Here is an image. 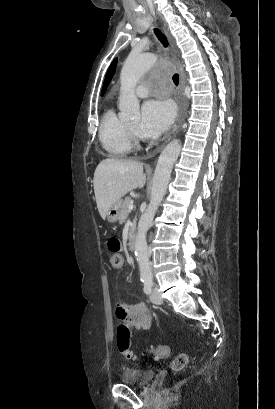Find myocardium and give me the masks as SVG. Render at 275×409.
<instances>
[{"label": "myocardium", "instance_id": "obj_1", "mask_svg": "<svg viewBox=\"0 0 275 409\" xmlns=\"http://www.w3.org/2000/svg\"><path fill=\"white\" fill-rule=\"evenodd\" d=\"M128 132L131 139V143L135 146H139L140 143L143 141L142 138L139 136L138 132L128 126Z\"/></svg>", "mask_w": 275, "mask_h": 409}]
</instances>
